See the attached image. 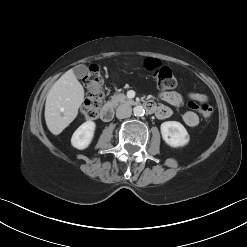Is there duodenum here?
<instances>
[{
  "mask_svg": "<svg viewBox=\"0 0 247 247\" xmlns=\"http://www.w3.org/2000/svg\"><path fill=\"white\" fill-rule=\"evenodd\" d=\"M144 107L148 112L155 113L157 112V107L152 102H145ZM114 114V108L112 104H106L101 111V119L105 122L110 121Z\"/></svg>",
  "mask_w": 247,
  "mask_h": 247,
  "instance_id": "obj_1",
  "label": "duodenum"
}]
</instances>
